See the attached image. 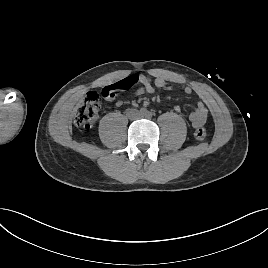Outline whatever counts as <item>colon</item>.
Segmentation results:
<instances>
[{
	"label": "colon",
	"instance_id": "obj_1",
	"mask_svg": "<svg viewBox=\"0 0 268 268\" xmlns=\"http://www.w3.org/2000/svg\"><path fill=\"white\" fill-rule=\"evenodd\" d=\"M135 85V80L126 78L115 84L104 87L100 94L97 92H88L83 103L78 106L74 113V123L84 129H90L98 118L101 107V98L111 100L120 91L127 90ZM207 136L206 130L199 127L194 132V138L197 141H203Z\"/></svg>",
	"mask_w": 268,
	"mask_h": 268
}]
</instances>
